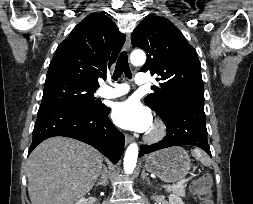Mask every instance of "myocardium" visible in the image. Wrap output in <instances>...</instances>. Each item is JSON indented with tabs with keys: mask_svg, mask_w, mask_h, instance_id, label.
Listing matches in <instances>:
<instances>
[{
	"mask_svg": "<svg viewBox=\"0 0 253 204\" xmlns=\"http://www.w3.org/2000/svg\"><path fill=\"white\" fill-rule=\"evenodd\" d=\"M167 133L166 125L161 120H155L148 132L145 134V141L148 143H157L161 141Z\"/></svg>",
	"mask_w": 253,
	"mask_h": 204,
	"instance_id": "myocardium-1",
	"label": "myocardium"
}]
</instances>
